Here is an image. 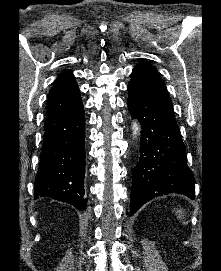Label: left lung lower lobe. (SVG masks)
<instances>
[{
  "label": "left lung lower lobe",
  "instance_id": "1",
  "mask_svg": "<svg viewBox=\"0 0 221 271\" xmlns=\"http://www.w3.org/2000/svg\"><path fill=\"white\" fill-rule=\"evenodd\" d=\"M127 106L142 127L140 159L132 170L131 214L162 194L178 193L195 199V180L187 165L173 109L129 82Z\"/></svg>",
  "mask_w": 221,
  "mask_h": 271
}]
</instances>
